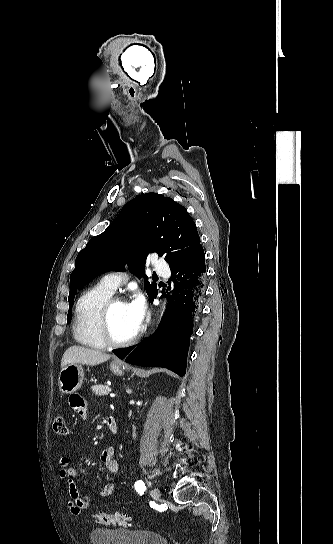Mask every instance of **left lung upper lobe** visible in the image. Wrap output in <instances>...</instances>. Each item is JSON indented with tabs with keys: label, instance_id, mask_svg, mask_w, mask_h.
Listing matches in <instances>:
<instances>
[{
	"label": "left lung upper lobe",
	"instance_id": "left-lung-upper-lobe-1",
	"mask_svg": "<svg viewBox=\"0 0 333 544\" xmlns=\"http://www.w3.org/2000/svg\"><path fill=\"white\" fill-rule=\"evenodd\" d=\"M195 222L185 207L161 194H142L124 205L120 214L100 235L92 238L77 255L76 267L70 276L69 311L71 321L77 289L98 274L123 269L134 263L139 277H144L149 299L157 284L149 283L145 262L149 253L163 256L170 269L186 261L200 246Z\"/></svg>",
	"mask_w": 333,
	"mask_h": 544
}]
</instances>
